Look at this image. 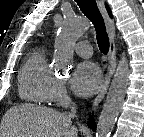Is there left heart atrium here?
Instances as JSON below:
<instances>
[{
	"label": "left heart atrium",
	"mask_w": 144,
	"mask_h": 137,
	"mask_svg": "<svg viewBox=\"0 0 144 137\" xmlns=\"http://www.w3.org/2000/svg\"><path fill=\"white\" fill-rule=\"evenodd\" d=\"M102 81V73L98 65L93 62H83L77 66L71 83L77 95L88 97L100 89Z\"/></svg>",
	"instance_id": "obj_1"
}]
</instances>
